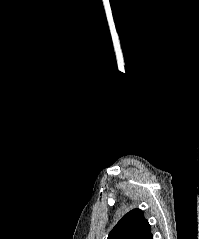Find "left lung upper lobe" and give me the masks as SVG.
<instances>
[{
  "label": "left lung upper lobe",
  "instance_id": "obj_1",
  "mask_svg": "<svg viewBox=\"0 0 199 239\" xmlns=\"http://www.w3.org/2000/svg\"><path fill=\"white\" fill-rule=\"evenodd\" d=\"M107 239H153V235L142 210L133 209L119 220Z\"/></svg>",
  "mask_w": 199,
  "mask_h": 239
}]
</instances>
